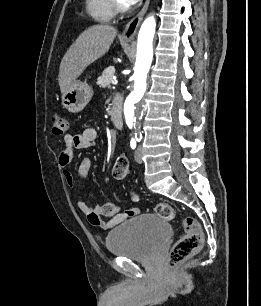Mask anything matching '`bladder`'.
I'll return each mask as SVG.
<instances>
[{
    "label": "bladder",
    "instance_id": "obj_1",
    "mask_svg": "<svg viewBox=\"0 0 261 306\" xmlns=\"http://www.w3.org/2000/svg\"><path fill=\"white\" fill-rule=\"evenodd\" d=\"M169 223L157 214L145 213L128 219L106 237L108 251L117 257L148 260L170 238Z\"/></svg>",
    "mask_w": 261,
    "mask_h": 306
}]
</instances>
